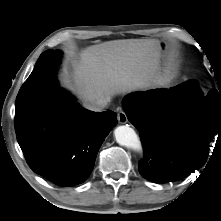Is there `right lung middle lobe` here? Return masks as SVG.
<instances>
[{
	"label": "right lung middle lobe",
	"mask_w": 221,
	"mask_h": 221,
	"mask_svg": "<svg viewBox=\"0 0 221 221\" xmlns=\"http://www.w3.org/2000/svg\"><path fill=\"white\" fill-rule=\"evenodd\" d=\"M60 51L47 50L43 52L35 67L33 72L39 74H53L55 75V69L60 63ZM40 90L32 89L27 93H21L16 99V110H15V126H20L24 124L28 119H30L33 114L38 110L42 104V96L45 89Z\"/></svg>",
	"instance_id": "1"
}]
</instances>
